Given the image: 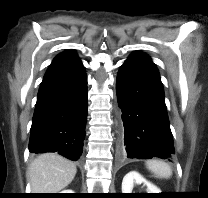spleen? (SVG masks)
Masks as SVG:
<instances>
[{"mask_svg": "<svg viewBox=\"0 0 208 198\" xmlns=\"http://www.w3.org/2000/svg\"><path fill=\"white\" fill-rule=\"evenodd\" d=\"M146 167L157 178H170L172 175L171 167L164 161L149 160L146 162Z\"/></svg>", "mask_w": 208, "mask_h": 198, "instance_id": "3e777b00", "label": "spleen"}]
</instances>
